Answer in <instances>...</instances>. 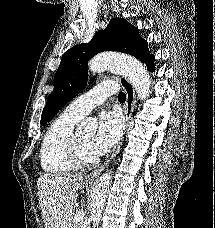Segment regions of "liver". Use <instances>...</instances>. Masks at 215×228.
Returning <instances> with one entry per match:
<instances>
[{
    "mask_svg": "<svg viewBox=\"0 0 215 228\" xmlns=\"http://www.w3.org/2000/svg\"><path fill=\"white\" fill-rule=\"evenodd\" d=\"M84 180L80 174H43L38 178V200L45 228H72L76 190Z\"/></svg>",
    "mask_w": 215,
    "mask_h": 228,
    "instance_id": "1",
    "label": "liver"
}]
</instances>
